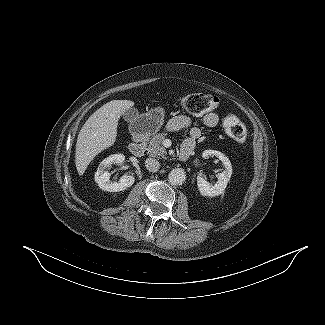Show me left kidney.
Wrapping results in <instances>:
<instances>
[{"label":"left kidney","instance_id":"left-kidney-1","mask_svg":"<svg viewBox=\"0 0 325 325\" xmlns=\"http://www.w3.org/2000/svg\"><path fill=\"white\" fill-rule=\"evenodd\" d=\"M204 158L209 156L217 157L224 165V171L218 174V181L215 184L209 183L204 177L197 176V186L202 196L215 197L224 194L227 184L232 175L231 162L227 156L216 150H205Z\"/></svg>","mask_w":325,"mask_h":325}]
</instances>
